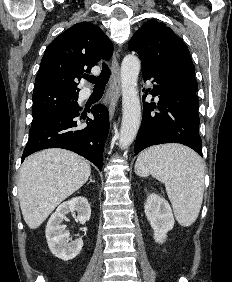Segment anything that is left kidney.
<instances>
[{
    "label": "left kidney",
    "instance_id": "obj_1",
    "mask_svg": "<svg viewBox=\"0 0 232 282\" xmlns=\"http://www.w3.org/2000/svg\"><path fill=\"white\" fill-rule=\"evenodd\" d=\"M145 215L154 230V239L163 243L166 234L174 226V217L169 203L159 195L150 194L145 203Z\"/></svg>",
    "mask_w": 232,
    "mask_h": 282
}]
</instances>
